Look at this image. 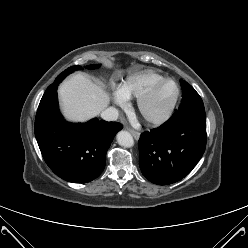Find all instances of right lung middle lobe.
<instances>
[{"label":"right lung middle lobe","instance_id":"right-lung-middle-lobe-1","mask_svg":"<svg viewBox=\"0 0 248 248\" xmlns=\"http://www.w3.org/2000/svg\"><path fill=\"white\" fill-rule=\"evenodd\" d=\"M100 67V64H97V65H88L86 66L85 68L87 69H96V68H99ZM78 69H81L80 66H72L68 69H66L65 71H63L62 73H60L57 78L55 79V81L47 88V90L45 91L43 97L41 100H44L48 97H50L51 95H53L56 90H57V86L58 84L67 76L69 75L70 73H72L74 70H78Z\"/></svg>","mask_w":248,"mask_h":248}]
</instances>
